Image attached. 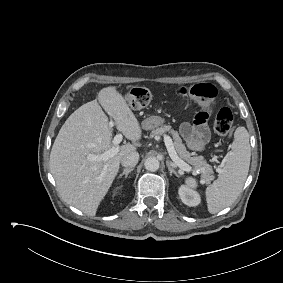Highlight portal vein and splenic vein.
I'll return each mask as SVG.
<instances>
[{"instance_id":"portal-vein-and-splenic-vein-1","label":"portal vein and splenic vein","mask_w":283,"mask_h":283,"mask_svg":"<svg viewBox=\"0 0 283 283\" xmlns=\"http://www.w3.org/2000/svg\"><path fill=\"white\" fill-rule=\"evenodd\" d=\"M109 126L113 127L114 122L111 121L109 122ZM123 136L122 134L118 133L114 139H113V144L115 145L113 148L107 150L103 154L100 155H95V154H90L87 156V159L90 161H97V160H107L108 158L114 156L118 152V147L117 145L122 141ZM165 145L167 147V150L169 152V155L172 159V161L183 171L190 172L192 170L191 166L188 165L186 162H184L182 159H180L175 151V148L173 146V142L169 136H166L165 139Z\"/></svg>"}]
</instances>
